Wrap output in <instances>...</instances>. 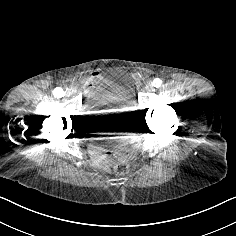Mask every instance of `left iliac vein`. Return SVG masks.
Listing matches in <instances>:
<instances>
[{"label": "left iliac vein", "instance_id": "4c4485c4", "mask_svg": "<svg viewBox=\"0 0 236 236\" xmlns=\"http://www.w3.org/2000/svg\"><path fill=\"white\" fill-rule=\"evenodd\" d=\"M145 91L146 92H151L152 91V86L151 85H146L145 86Z\"/></svg>", "mask_w": 236, "mask_h": 236}]
</instances>
